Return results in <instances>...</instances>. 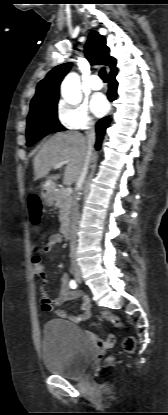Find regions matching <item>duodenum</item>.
I'll use <instances>...</instances> for the list:
<instances>
[{
  "instance_id": "duodenum-1",
  "label": "duodenum",
  "mask_w": 168,
  "mask_h": 415,
  "mask_svg": "<svg viewBox=\"0 0 168 415\" xmlns=\"http://www.w3.org/2000/svg\"><path fill=\"white\" fill-rule=\"evenodd\" d=\"M50 187V186H49ZM60 234L62 237H67L69 234V226L67 224H62L60 227Z\"/></svg>"
}]
</instances>
